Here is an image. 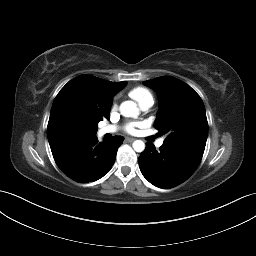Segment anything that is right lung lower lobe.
<instances>
[{
	"label": "right lung lower lobe",
	"mask_w": 256,
	"mask_h": 256,
	"mask_svg": "<svg viewBox=\"0 0 256 256\" xmlns=\"http://www.w3.org/2000/svg\"><path fill=\"white\" fill-rule=\"evenodd\" d=\"M122 136L98 142L96 134L71 136L52 145L54 160L69 178L80 182H93L103 177L116 159Z\"/></svg>",
	"instance_id": "right-lung-lower-lobe-1"
}]
</instances>
